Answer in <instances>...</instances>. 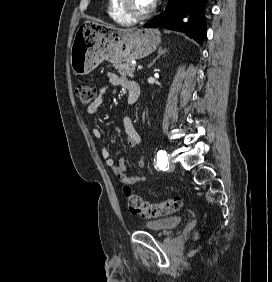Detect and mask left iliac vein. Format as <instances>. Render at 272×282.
Here are the masks:
<instances>
[{
	"instance_id": "obj_1",
	"label": "left iliac vein",
	"mask_w": 272,
	"mask_h": 282,
	"mask_svg": "<svg viewBox=\"0 0 272 282\" xmlns=\"http://www.w3.org/2000/svg\"><path fill=\"white\" fill-rule=\"evenodd\" d=\"M168 169L171 170V171L175 169V165H174L171 157H169V159H168Z\"/></svg>"
}]
</instances>
